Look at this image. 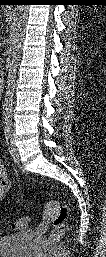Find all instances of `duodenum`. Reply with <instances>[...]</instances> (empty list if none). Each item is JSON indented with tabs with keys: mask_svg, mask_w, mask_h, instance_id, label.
Instances as JSON below:
<instances>
[{
	"mask_svg": "<svg viewBox=\"0 0 106 257\" xmlns=\"http://www.w3.org/2000/svg\"><path fill=\"white\" fill-rule=\"evenodd\" d=\"M3 91V84L0 83V92Z\"/></svg>",
	"mask_w": 106,
	"mask_h": 257,
	"instance_id": "obj_1",
	"label": "duodenum"
}]
</instances>
